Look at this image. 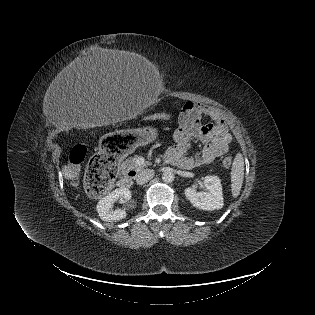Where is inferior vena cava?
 <instances>
[{
    "label": "inferior vena cava",
    "mask_w": 315,
    "mask_h": 315,
    "mask_svg": "<svg viewBox=\"0 0 315 315\" xmlns=\"http://www.w3.org/2000/svg\"><path fill=\"white\" fill-rule=\"evenodd\" d=\"M154 170L152 169H144L141 172L138 173L136 177V182L139 185L145 184L148 182L150 179L154 177Z\"/></svg>",
    "instance_id": "inferior-vena-cava-1"
}]
</instances>
